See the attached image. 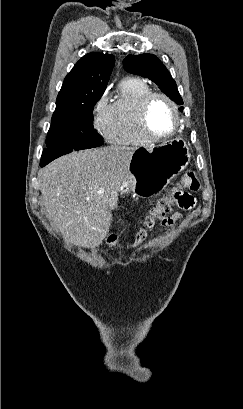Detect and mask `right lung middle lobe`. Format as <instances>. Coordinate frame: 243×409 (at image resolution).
I'll list each match as a JSON object with an SVG mask.
<instances>
[{
  "label": "right lung middle lobe",
  "instance_id": "obj_1",
  "mask_svg": "<svg viewBox=\"0 0 243 409\" xmlns=\"http://www.w3.org/2000/svg\"><path fill=\"white\" fill-rule=\"evenodd\" d=\"M89 104H56L45 150H81L103 144L93 127V108Z\"/></svg>",
  "mask_w": 243,
  "mask_h": 409
}]
</instances>
